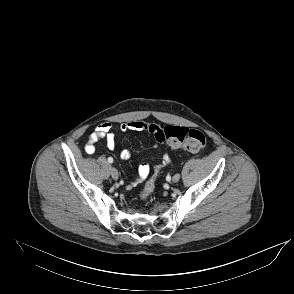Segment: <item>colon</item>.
<instances>
[{
    "label": "colon",
    "mask_w": 294,
    "mask_h": 294,
    "mask_svg": "<svg viewBox=\"0 0 294 294\" xmlns=\"http://www.w3.org/2000/svg\"><path fill=\"white\" fill-rule=\"evenodd\" d=\"M148 131L151 132L158 142H166L172 148H182L193 153L202 152L207 145L205 135L196 129H189L181 126H157L148 124ZM159 175V166L156 165L152 174L140 193L143 201L152 195L155 183Z\"/></svg>",
    "instance_id": "1"
}]
</instances>
